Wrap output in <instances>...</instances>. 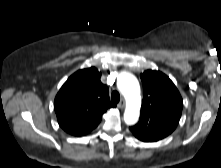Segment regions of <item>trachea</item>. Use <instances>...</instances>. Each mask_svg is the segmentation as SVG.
I'll list each match as a JSON object with an SVG mask.
<instances>
[{
  "instance_id": "1",
  "label": "trachea",
  "mask_w": 221,
  "mask_h": 168,
  "mask_svg": "<svg viewBox=\"0 0 221 168\" xmlns=\"http://www.w3.org/2000/svg\"><path fill=\"white\" fill-rule=\"evenodd\" d=\"M111 100L112 102L118 103L120 100V94L118 91H113L111 94Z\"/></svg>"
}]
</instances>
